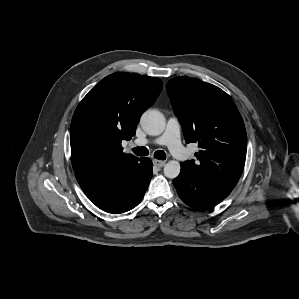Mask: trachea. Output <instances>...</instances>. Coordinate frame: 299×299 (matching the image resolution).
<instances>
[{"label":"trachea","instance_id":"trachea-1","mask_svg":"<svg viewBox=\"0 0 299 299\" xmlns=\"http://www.w3.org/2000/svg\"><path fill=\"white\" fill-rule=\"evenodd\" d=\"M132 151L137 156H147L149 154V151L146 147H136V148H133ZM154 157L159 160H165L166 153L163 150H157L154 153Z\"/></svg>","mask_w":299,"mask_h":299}]
</instances>
